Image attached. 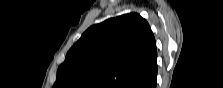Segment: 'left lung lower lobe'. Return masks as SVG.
<instances>
[{"instance_id":"obj_1","label":"left lung lower lobe","mask_w":223,"mask_h":88,"mask_svg":"<svg viewBox=\"0 0 223 88\" xmlns=\"http://www.w3.org/2000/svg\"><path fill=\"white\" fill-rule=\"evenodd\" d=\"M157 65H155L142 78L137 80L130 88H156Z\"/></svg>"}]
</instances>
